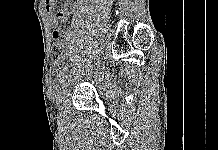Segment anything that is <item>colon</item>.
<instances>
[{
  "label": "colon",
  "instance_id": "5ec220e1",
  "mask_svg": "<svg viewBox=\"0 0 218 150\" xmlns=\"http://www.w3.org/2000/svg\"><path fill=\"white\" fill-rule=\"evenodd\" d=\"M66 44V35L61 30L54 31L52 45V59L58 60L63 53Z\"/></svg>",
  "mask_w": 218,
  "mask_h": 150
}]
</instances>
